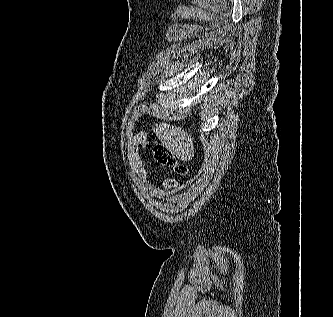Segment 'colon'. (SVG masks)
I'll return each instance as SVG.
<instances>
[{
	"instance_id": "1",
	"label": "colon",
	"mask_w": 333,
	"mask_h": 317,
	"mask_svg": "<svg viewBox=\"0 0 333 317\" xmlns=\"http://www.w3.org/2000/svg\"><path fill=\"white\" fill-rule=\"evenodd\" d=\"M153 155L160 165L173 169L178 175L185 176L188 174V169L180 164L164 145L155 144L153 147Z\"/></svg>"
}]
</instances>
